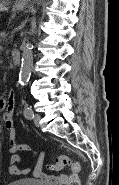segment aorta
<instances>
[{
    "mask_svg": "<svg viewBox=\"0 0 119 185\" xmlns=\"http://www.w3.org/2000/svg\"><path fill=\"white\" fill-rule=\"evenodd\" d=\"M33 66V54L31 44L27 41L22 47V64L19 74V82L24 85L29 81Z\"/></svg>",
    "mask_w": 119,
    "mask_h": 185,
    "instance_id": "aorta-1",
    "label": "aorta"
}]
</instances>
